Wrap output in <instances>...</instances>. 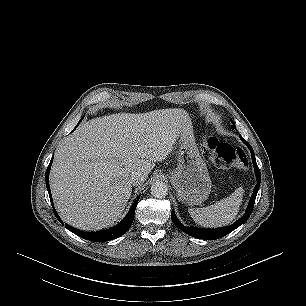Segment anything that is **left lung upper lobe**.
<instances>
[{
  "mask_svg": "<svg viewBox=\"0 0 306 306\" xmlns=\"http://www.w3.org/2000/svg\"><path fill=\"white\" fill-rule=\"evenodd\" d=\"M232 124H233V126H232V127H233V128H235V124H234V122H233V121H232Z\"/></svg>",
  "mask_w": 306,
  "mask_h": 306,
  "instance_id": "left-lung-upper-lobe-1",
  "label": "left lung upper lobe"
}]
</instances>
